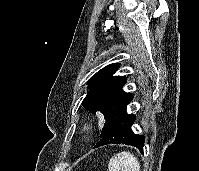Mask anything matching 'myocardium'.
<instances>
[{"label":"myocardium","instance_id":"1","mask_svg":"<svg viewBox=\"0 0 199 171\" xmlns=\"http://www.w3.org/2000/svg\"><path fill=\"white\" fill-rule=\"evenodd\" d=\"M90 132V126L88 124H85L82 128H81V134L82 135H88Z\"/></svg>","mask_w":199,"mask_h":171}]
</instances>
